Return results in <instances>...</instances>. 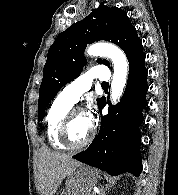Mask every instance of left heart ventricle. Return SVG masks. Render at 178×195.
Wrapping results in <instances>:
<instances>
[{
	"label": "left heart ventricle",
	"instance_id": "obj_1",
	"mask_svg": "<svg viewBox=\"0 0 178 195\" xmlns=\"http://www.w3.org/2000/svg\"><path fill=\"white\" fill-rule=\"evenodd\" d=\"M92 125L88 122L85 113L77 114L69 128V139L73 144L83 143L90 135Z\"/></svg>",
	"mask_w": 178,
	"mask_h": 195
}]
</instances>
